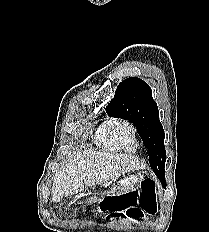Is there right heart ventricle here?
<instances>
[{
  "instance_id": "obj_1",
  "label": "right heart ventricle",
  "mask_w": 209,
  "mask_h": 232,
  "mask_svg": "<svg viewBox=\"0 0 209 232\" xmlns=\"http://www.w3.org/2000/svg\"><path fill=\"white\" fill-rule=\"evenodd\" d=\"M117 121L118 119L115 118L106 119L97 129L95 134V142L100 148L111 152H117L121 150V148L114 142L112 137V127ZM135 145L137 148L136 141Z\"/></svg>"
}]
</instances>
